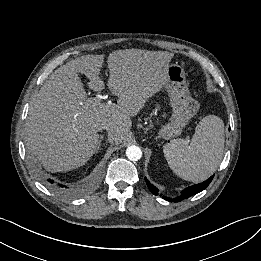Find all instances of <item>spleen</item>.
Instances as JSON below:
<instances>
[{"mask_svg": "<svg viewBox=\"0 0 261 261\" xmlns=\"http://www.w3.org/2000/svg\"><path fill=\"white\" fill-rule=\"evenodd\" d=\"M224 123L208 115L196 126L189 143L174 139L163 147L164 156L172 171L184 180H206L218 168L224 153Z\"/></svg>", "mask_w": 261, "mask_h": 261, "instance_id": "spleen-1", "label": "spleen"}]
</instances>
